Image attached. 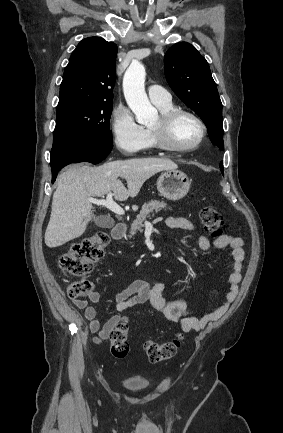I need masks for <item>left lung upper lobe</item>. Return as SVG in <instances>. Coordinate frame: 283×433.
Segmentation results:
<instances>
[{
  "label": "left lung upper lobe",
  "instance_id": "left-lung-upper-lobe-1",
  "mask_svg": "<svg viewBox=\"0 0 283 433\" xmlns=\"http://www.w3.org/2000/svg\"><path fill=\"white\" fill-rule=\"evenodd\" d=\"M164 68L172 90L200 116L211 142L224 150L222 103L205 58L191 44L176 43L165 54Z\"/></svg>",
  "mask_w": 283,
  "mask_h": 433
}]
</instances>
